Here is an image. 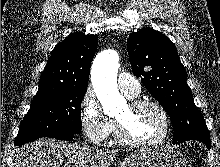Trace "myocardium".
<instances>
[{
    "label": "myocardium",
    "mask_w": 220,
    "mask_h": 167,
    "mask_svg": "<svg viewBox=\"0 0 220 167\" xmlns=\"http://www.w3.org/2000/svg\"><path fill=\"white\" fill-rule=\"evenodd\" d=\"M129 106L132 109H139L145 106L156 108L162 115L164 120V130L162 134L151 140H136L130 137L124 125L116 120V139L122 145L128 147H155L162 144L169 137L172 130V121L166 108L158 101L151 99H135L130 101Z\"/></svg>",
    "instance_id": "obj_1"
}]
</instances>
